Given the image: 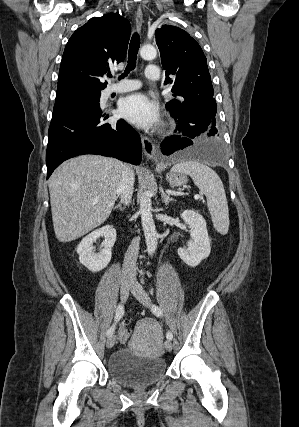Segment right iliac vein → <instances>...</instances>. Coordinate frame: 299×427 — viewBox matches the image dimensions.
I'll return each instance as SVG.
<instances>
[{"label": "right iliac vein", "mask_w": 299, "mask_h": 427, "mask_svg": "<svg viewBox=\"0 0 299 427\" xmlns=\"http://www.w3.org/2000/svg\"><path fill=\"white\" fill-rule=\"evenodd\" d=\"M130 286H131V283H130L129 279L124 278V277L121 278V281H120V298H121L122 302L127 301L128 296H129ZM115 341H116V337L114 335L110 336L106 342L107 348H112L115 344Z\"/></svg>", "instance_id": "63e3f726"}]
</instances>
